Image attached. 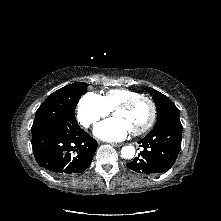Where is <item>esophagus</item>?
I'll return each mask as SVG.
<instances>
[{"mask_svg": "<svg viewBox=\"0 0 221 221\" xmlns=\"http://www.w3.org/2000/svg\"><path fill=\"white\" fill-rule=\"evenodd\" d=\"M110 145L114 146V147H120L122 146L123 144L122 143H116V142H111L109 143Z\"/></svg>", "mask_w": 221, "mask_h": 221, "instance_id": "1", "label": "esophagus"}]
</instances>
